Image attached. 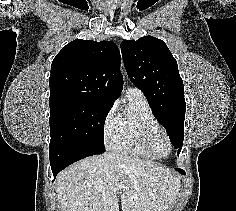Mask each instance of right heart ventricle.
<instances>
[{"label":"right heart ventricle","mask_w":236,"mask_h":211,"mask_svg":"<svg viewBox=\"0 0 236 211\" xmlns=\"http://www.w3.org/2000/svg\"><path fill=\"white\" fill-rule=\"evenodd\" d=\"M127 101L124 110L117 115L109 148L115 152L156 159L139 144V137L146 128L159 125L152 108L144 96L127 97Z\"/></svg>","instance_id":"e07e8e85"}]
</instances>
